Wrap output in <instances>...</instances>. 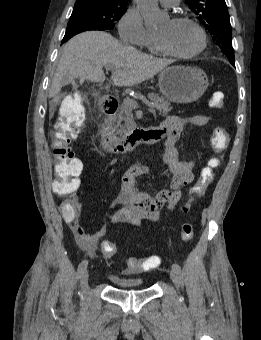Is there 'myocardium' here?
<instances>
[{"label": "myocardium", "instance_id": "obj_1", "mask_svg": "<svg viewBox=\"0 0 261 340\" xmlns=\"http://www.w3.org/2000/svg\"><path fill=\"white\" fill-rule=\"evenodd\" d=\"M175 23H189L193 25L200 34V45L199 47L190 53H178L171 50L162 39L156 36V40L161 51L169 56L176 57L179 59H192L201 54L207 47V34L203 26L194 18L188 16L176 17L172 20Z\"/></svg>", "mask_w": 261, "mask_h": 340}]
</instances>
